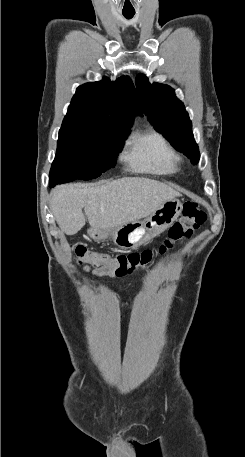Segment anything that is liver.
Returning a JSON list of instances; mask_svg holds the SVG:
<instances>
[{
    "label": "liver",
    "instance_id": "6515ba94",
    "mask_svg": "<svg viewBox=\"0 0 245 457\" xmlns=\"http://www.w3.org/2000/svg\"><path fill=\"white\" fill-rule=\"evenodd\" d=\"M51 210L61 231L76 235L85 224L82 208L94 229H110L149 216L168 198L180 192L165 182L124 176L105 184H59L51 190Z\"/></svg>",
    "mask_w": 245,
    "mask_h": 457
}]
</instances>
